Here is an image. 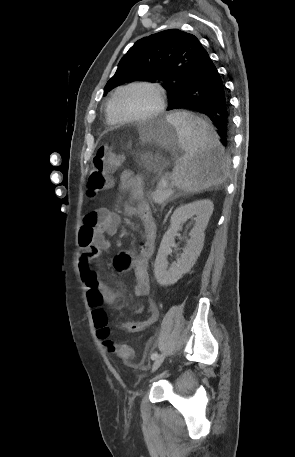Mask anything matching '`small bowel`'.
I'll return each mask as SVG.
<instances>
[{
	"mask_svg": "<svg viewBox=\"0 0 295 457\" xmlns=\"http://www.w3.org/2000/svg\"><path fill=\"white\" fill-rule=\"evenodd\" d=\"M119 191L129 195L127 212L138 216L142 222L143 241L137 254L131 251L120 252L113 259V266L119 272L129 270L133 272L134 295L139 298L147 296L150 292L148 261L154 251L156 224L151 208L144 199L143 182L137 175L129 170L123 171L119 178ZM120 225V215L108 208H99L89 212L83 218V225L79 231L81 251L78 257V268L92 307L98 303L114 305L119 298L115 290L99 279L92 264L103 251L110 247L109 238L117 233ZM143 312L146 314L143 319L121 322V328L129 333H138L154 324L159 318V308L153 299L137 311L139 314Z\"/></svg>",
	"mask_w": 295,
	"mask_h": 457,
	"instance_id": "1",
	"label": "small bowel"
}]
</instances>
